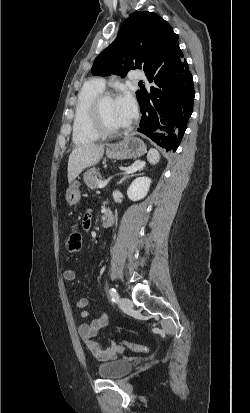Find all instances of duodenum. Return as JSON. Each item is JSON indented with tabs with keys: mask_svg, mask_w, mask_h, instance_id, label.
I'll return each instance as SVG.
<instances>
[{
	"mask_svg": "<svg viewBox=\"0 0 250 413\" xmlns=\"http://www.w3.org/2000/svg\"><path fill=\"white\" fill-rule=\"evenodd\" d=\"M102 226L108 228L113 224V214L110 210H106L101 219Z\"/></svg>",
	"mask_w": 250,
	"mask_h": 413,
	"instance_id": "obj_1",
	"label": "duodenum"
}]
</instances>
